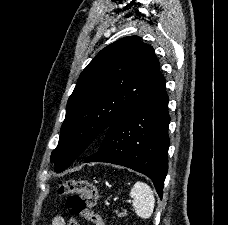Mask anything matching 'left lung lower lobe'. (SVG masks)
<instances>
[{
  "mask_svg": "<svg viewBox=\"0 0 228 225\" xmlns=\"http://www.w3.org/2000/svg\"><path fill=\"white\" fill-rule=\"evenodd\" d=\"M168 95L163 75L105 132L98 152L84 163L106 162L148 176L160 198L168 171Z\"/></svg>",
  "mask_w": 228,
  "mask_h": 225,
  "instance_id": "obj_1",
  "label": "left lung lower lobe"
}]
</instances>
